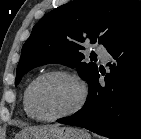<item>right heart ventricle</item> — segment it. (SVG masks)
<instances>
[{
    "label": "right heart ventricle",
    "instance_id": "1",
    "mask_svg": "<svg viewBox=\"0 0 141 139\" xmlns=\"http://www.w3.org/2000/svg\"><path fill=\"white\" fill-rule=\"evenodd\" d=\"M26 92H27V89L25 90L24 95H23V110H24L25 114L27 115V117H29L31 119H34L32 117V115L30 114L28 108H27V104H26Z\"/></svg>",
    "mask_w": 141,
    "mask_h": 139
}]
</instances>
